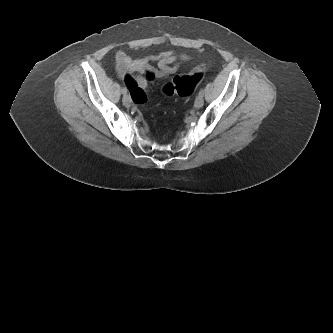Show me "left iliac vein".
I'll return each instance as SVG.
<instances>
[{"mask_svg":"<svg viewBox=\"0 0 333 333\" xmlns=\"http://www.w3.org/2000/svg\"><path fill=\"white\" fill-rule=\"evenodd\" d=\"M203 103H204V99H203V96L201 95H198L195 99V102H194V107L196 109H199L203 106Z\"/></svg>","mask_w":333,"mask_h":333,"instance_id":"4c4485c4","label":"left iliac vein"}]
</instances>
